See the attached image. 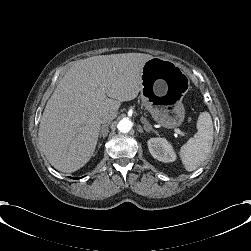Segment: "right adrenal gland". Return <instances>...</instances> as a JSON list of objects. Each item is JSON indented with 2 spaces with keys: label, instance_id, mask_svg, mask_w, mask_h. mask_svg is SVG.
<instances>
[{
  "label": "right adrenal gland",
  "instance_id": "obj_1",
  "mask_svg": "<svg viewBox=\"0 0 251 251\" xmlns=\"http://www.w3.org/2000/svg\"><path fill=\"white\" fill-rule=\"evenodd\" d=\"M109 133V127L108 124L102 125L100 132H99V138L103 137L105 139Z\"/></svg>",
  "mask_w": 251,
  "mask_h": 251
}]
</instances>
